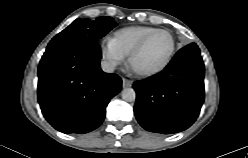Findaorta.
<instances>
[{
    "label": "aorta",
    "mask_w": 248,
    "mask_h": 158,
    "mask_svg": "<svg viewBox=\"0 0 248 158\" xmlns=\"http://www.w3.org/2000/svg\"><path fill=\"white\" fill-rule=\"evenodd\" d=\"M122 98L127 102H133L136 99V92L133 88H125L122 91Z\"/></svg>",
    "instance_id": "1"
}]
</instances>
